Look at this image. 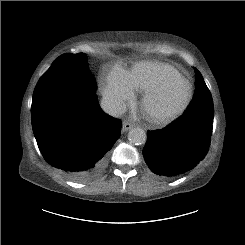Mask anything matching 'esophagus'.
Returning a JSON list of instances; mask_svg holds the SVG:
<instances>
[{
    "label": "esophagus",
    "instance_id": "1",
    "mask_svg": "<svg viewBox=\"0 0 245 245\" xmlns=\"http://www.w3.org/2000/svg\"><path fill=\"white\" fill-rule=\"evenodd\" d=\"M134 125L132 123H130L129 121H123V126H122V130L124 132L128 131L129 129H131Z\"/></svg>",
    "mask_w": 245,
    "mask_h": 245
}]
</instances>
